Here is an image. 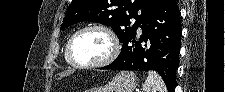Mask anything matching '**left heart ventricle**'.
I'll list each match as a JSON object with an SVG mask.
<instances>
[{
  "label": "left heart ventricle",
  "mask_w": 225,
  "mask_h": 92,
  "mask_svg": "<svg viewBox=\"0 0 225 92\" xmlns=\"http://www.w3.org/2000/svg\"><path fill=\"white\" fill-rule=\"evenodd\" d=\"M111 51L108 37L100 31L90 30L77 37L72 46V55L83 64L98 62L106 58Z\"/></svg>",
  "instance_id": "1"
}]
</instances>
